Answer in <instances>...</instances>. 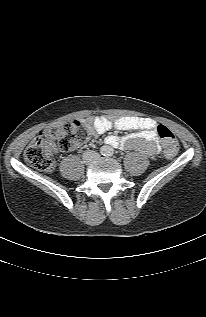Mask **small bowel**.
<instances>
[{
    "label": "small bowel",
    "mask_w": 206,
    "mask_h": 317,
    "mask_svg": "<svg viewBox=\"0 0 206 317\" xmlns=\"http://www.w3.org/2000/svg\"><path fill=\"white\" fill-rule=\"evenodd\" d=\"M82 124L89 127L94 133L102 134L111 129L133 131L123 137L110 135L105 141L108 145L120 147L122 149H135L146 152L149 155H156L159 150V138L157 134L158 123L151 118L127 116L119 118H109L98 116L87 118ZM79 144L73 149H77ZM54 149V146H52Z\"/></svg>",
    "instance_id": "small-bowel-1"
}]
</instances>
